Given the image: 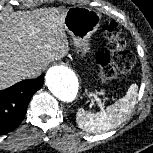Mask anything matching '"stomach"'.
<instances>
[{
	"label": "stomach",
	"mask_w": 153,
	"mask_h": 153,
	"mask_svg": "<svg viewBox=\"0 0 153 153\" xmlns=\"http://www.w3.org/2000/svg\"><path fill=\"white\" fill-rule=\"evenodd\" d=\"M99 19L76 9H70L64 19V30L71 39L76 53L85 57L91 53V37L99 27Z\"/></svg>",
	"instance_id": "obj_1"
}]
</instances>
